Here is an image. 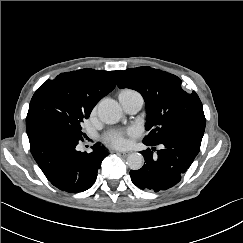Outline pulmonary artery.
Returning a JSON list of instances; mask_svg holds the SVG:
<instances>
[{"instance_id":"e3ab8cb5","label":"pulmonary artery","mask_w":243,"mask_h":243,"mask_svg":"<svg viewBox=\"0 0 243 243\" xmlns=\"http://www.w3.org/2000/svg\"><path fill=\"white\" fill-rule=\"evenodd\" d=\"M121 104L127 113L135 114L141 109L143 99L142 97H133L121 102Z\"/></svg>"}]
</instances>
